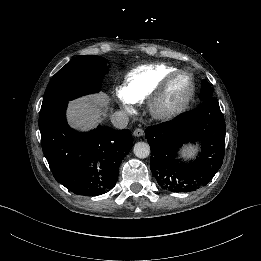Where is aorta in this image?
<instances>
[{"label":"aorta","mask_w":261,"mask_h":261,"mask_svg":"<svg viewBox=\"0 0 261 261\" xmlns=\"http://www.w3.org/2000/svg\"><path fill=\"white\" fill-rule=\"evenodd\" d=\"M133 152L137 158L145 159L150 155V146L145 142H138L134 145Z\"/></svg>","instance_id":"aorta-1"}]
</instances>
